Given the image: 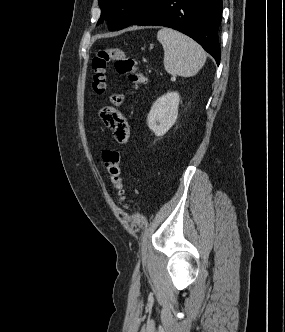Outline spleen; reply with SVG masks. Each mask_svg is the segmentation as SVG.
<instances>
[{
	"instance_id": "3e777b00",
	"label": "spleen",
	"mask_w": 285,
	"mask_h": 332,
	"mask_svg": "<svg viewBox=\"0 0 285 332\" xmlns=\"http://www.w3.org/2000/svg\"><path fill=\"white\" fill-rule=\"evenodd\" d=\"M164 50L165 70L173 75L191 77L198 73L206 61V52L193 39L171 28L157 33Z\"/></svg>"
}]
</instances>
